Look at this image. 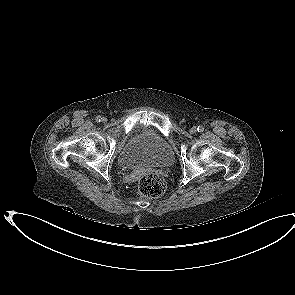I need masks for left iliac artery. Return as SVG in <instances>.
Returning a JSON list of instances; mask_svg holds the SVG:
<instances>
[{
    "mask_svg": "<svg viewBox=\"0 0 295 295\" xmlns=\"http://www.w3.org/2000/svg\"><path fill=\"white\" fill-rule=\"evenodd\" d=\"M197 131H198V132H203V131H204V127H203V126H201V125H200V126H198V128H197Z\"/></svg>",
    "mask_w": 295,
    "mask_h": 295,
    "instance_id": "left-iliac-artery-1",
    "label": "left iliac artery"
}]
</instances>
